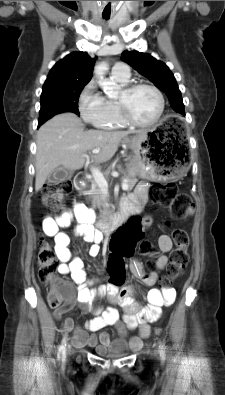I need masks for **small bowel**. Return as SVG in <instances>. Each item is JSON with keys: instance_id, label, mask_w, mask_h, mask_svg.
<instances>
[{"instance_id": "c3829d8e", "label": "small bowel", "mask_w": 225, "mask_h": 395, "mask_svg": "<svg viewBox=\"0 0 225 395\" xmlns=\"http://www.w3.org/2000/svg\"><path fill=\"white\" fill-rule=\"evenodd\" d=\"M148 183H139L135 190L123 200L121 208L127 214H136L141 206L147 203ZM77 222L76 231L83 235L84 240L91 243L89 254L96 256L99 253V244L102 240L100 233L95 231L92 223L95 219L94 212L83 204H74L73 208L64 212L58 217H46L42 222L43 232L55 241V252L60 261L59 273L69 274L72 281L77 284L76 296L67 301V306L55 310L54 315L60 318L67 312L74 303L85 305L86 309L94 314V317L85 323V328L91 333L98 332L107 326H116L120 335L125 336L127 329L139 328L136 336L129 340V346L138 349L142 345V340L150 335L149 323L156 322L161 314L163 306H170L174 303L176 293L172 288H152L146 294L149 303L148 307H142L136 303L132 297L131 288H114L112 283L100 286L98 289L91 288V282L86 278L83 261L74 257L69 249V236L61 231V228L68 227L72 220ZM151 218L146 217L142 222L143 228L150 226ZM158 248L160 255L155 261V268L151 272H145L141 262L133 260L130 263L131 272L145 285H155L160 271L168 263L167 253L172 249V240L168 235H161L158 238ZM106 297L110 306L102 309L95 306L98 298ZM116 307L123 310V318L120 321L119 312ZM64 328L67 331L74 329V322L71 318L64 321ZM111 342L109 334L103 332L97 337L95 334H88L81 328H76L73 336V343L77 347H92L98 352L106 348Z\"/></svg>"}]
</instances>
